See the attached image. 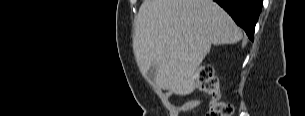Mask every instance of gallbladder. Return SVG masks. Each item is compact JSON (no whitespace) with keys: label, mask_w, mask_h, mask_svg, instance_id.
<instances>
[{"label":"gallbladder","mask_w":305,"mask_h":116,"mask_svg":"<svg viewBox=\"0 0 305 116\" xmlns=\"http://www.w3.org/2000/svg\"><path fill=\"white\" fill-rule=\"evenodd\" d=\"M156 67L157 65H152L146 72V78L150 81H155V74H156Z\"/></svg>","instance_id":"obj_1"}]
</instances>
